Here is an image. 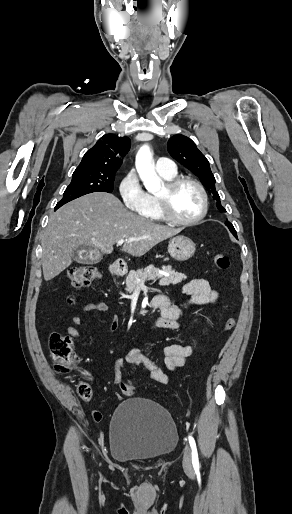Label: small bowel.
<instances>
[{
  "mask_svg": "<svg viewBox=\"0 0 292 514\" xmlns=\"http://www.w3.org/2000/svg\"><path fill=\"white\" fill-rule=\"evenodd\" d=\"M183 292L190 296L188 303L180 305H171L168 311L161 310V316L157 323L161 329L178 330L182 328L180 318L191 306H199L204 304L215 305L218 302V293L213 290L207 281L203 279H193L186 283L183 287ZM109 306L104 301H94L87 303L82 307V312L96 311L106 313ZM85 322L83 315H76L72 318V325L67 328L68 335L74 340H80L82 334L77 326ZM119 321L115 318L111 324V331L117 329ZM165 365L166 371L163 370L156 362L151 361L137 350L130 351L125 357H118L113 363L114 383L120 384L123 380V370L126 363H132L141 367L145 374L153 381L159 384H167L170 381L171 374L179 367L185 365L187 359L193 353L192 345L170 344L165 347ZM115 398L120 402L125 400L119 391L113 393Z\"/></svg>",
  "mask_w": 292,
  "mask_h": 514,
  "instance_id": "1",
  "label": "small bowel"
}]
</instances>
